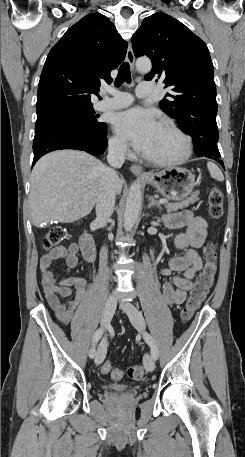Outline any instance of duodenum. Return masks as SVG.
<instances>
[{"label":"duodenum","mask_w":245,"mask_h":457,"mask_svg":"<svg viewBox=\"0 0 245 457\" xmlns=\"http://www.w3.org/2000/svg\"><path fill=\"white\" fill-rule=\"evenodd\" d=\"M80 247L84 258L89 262H93L96 257V247L94 239L90 233L85 232L81 236Z\"/></svg>","instance_id":"obj_1"}]
</instances>
